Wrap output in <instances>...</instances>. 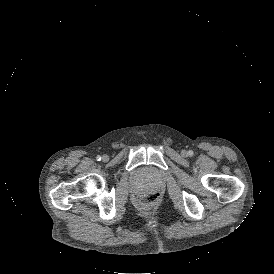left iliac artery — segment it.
Returning a JSON list of instances; mask_svg holds the SVG:
<instances>
[{
    "instance_id": "obj_1",
    "label": "left iliac artery",
    "mask_w": 274,
    "mask_h": 274,
    "mask_svg": "<svg viewBox=\"0 0 274 274\" xmlns=\"http://www.w3.org/2000/svg\"><path fill=\"white\" fill-rule=\"evenodd\" d=\"M188 155H189L190 157H192V156L194 155V152H193L192 150H189V151H188Z\"/></svg>"
}]
</instances>
